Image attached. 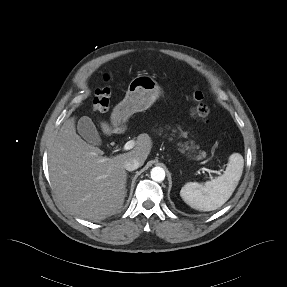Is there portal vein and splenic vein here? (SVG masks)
<instances>
[{
	"mask_svg": "<svg viewBox=\"0 0 287 287\" xmlns=\"http://www.w3.org/2000/svg\"><path fill=\"white\" fill-rule=\"evenodd\" d=\"M134 146H135V141L130 140V141L125 143V145L123 146V150L124 151L131 150L132 148H134ZM202 171L207 172L209 174L210 178H212V176H211L212 174H217V175L221 174L220 171L208 169L206 167H202Z\"/></svg>",
	"mask_w": 287,
	"mask_h": 287,
	"instance_id": "portal-vein-and-splenic-vein-1",
	"label": "portal vein and splenic vein"
}]
</instances>
